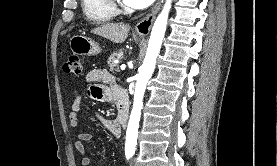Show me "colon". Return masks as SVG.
<instances>
[{
	"instance_id": "5ec220e1",
	"label": "colon",
	"mask_w": 277,
	"mask_h": 166,
	"mask_svg": "<svg viewBox=\"0 0 277 166\" xmlns=\"http://www.w3.org/2000/svg\"><path fill=\"white\" fill-rule=\"evenodd\" d=\"M66 73L80 75L82 73V62L81 57L77 54L69 56L63 67Z\"/></svg>"
}]
</instances>
